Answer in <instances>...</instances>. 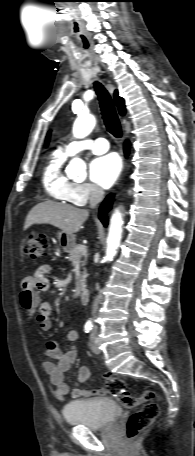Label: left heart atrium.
Listing matches in <instances>:
<instances>
[{
  "instance_id": "1",
  "label": "left heart atrium",
  "mask_w": 195,
  "mask_h": 456,
  "mask_svg": "<svg viewBox=\"0 0 195 456\" xmlns=\"http://www.w3.org/2000/svg\"><path fill=\"white\" fill-rule=\"evenodd\" d=\"M121 172V161L114 154L94 158L89 165L91 180L102 188L111 187Z\"/></svg>"
}]
</instances>
